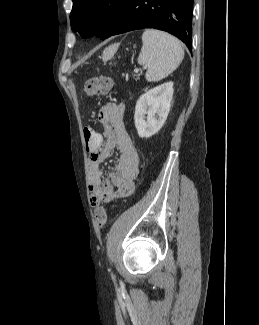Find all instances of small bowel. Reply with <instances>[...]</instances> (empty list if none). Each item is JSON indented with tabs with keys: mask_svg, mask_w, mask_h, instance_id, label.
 Here are the masks:
<instances>
[{
	"mask_svg": "<svg viewBox=\"0 0 259 325\" xmlns=\"http://www.w3.org/2000/svg\"><path fill=\"white\" fill-rule=\"evenodd\" d=\"M98 118L104 127L106 141L104 143L102 135L99 134L101 148H86L90 164L88 192L93 205L130 196L135 190L140 163L139 154L126 129L124 105L107 102L100 109ZM114 149L119 151L116 172L103 178L100 164L111 155Z\"/></svg>",
	"mask_w": 259,
	"mask_h": 325,
	"instance_id": "1",
	"label": "small bowel"
}]
</instances>
